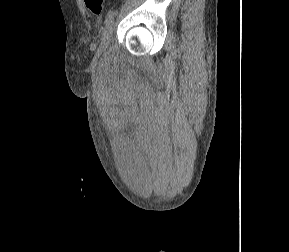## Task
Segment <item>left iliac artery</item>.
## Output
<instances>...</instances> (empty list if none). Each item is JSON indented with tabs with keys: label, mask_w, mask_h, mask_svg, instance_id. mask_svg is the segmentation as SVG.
Masks as SVG:
<instances>
[{
	"label": "left iliac artery",
	"mask_w": 289,
	"mask_h": 252,
	"mask_svg": "<svg viewBox=\"0 0 289 252\" xmlns=\"http://www.w3.org/2000/svg\"><path fill=\"white\" fill-rule=\"evenodd\" d=\"M114 16H115V12L113 10H110L106 15L104 23L107 25L109 22L113 20Z\"/></svg>",
	"instance_id": "left-iliac-artery-1"
}]
</instances>
